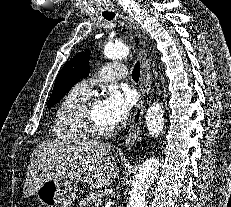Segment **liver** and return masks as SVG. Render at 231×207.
Segmentation results:
<instances>
[{"instance_id":"obj_1","label":"liver","mask_w":231,"mask_h":207,"mask_svg":"<svg viewBox=\"0 0 231 207\" xmlns=\"http://www.w3.org/2000/svg\"><path fill=\"white\" fill-rule=\"evenodd\" d=\"M111 146L88 141H47L33 151L23 189L24 198L35 194L51 178L87 182L90 188L108 186L118 178L119 167L109 155Z\"/></svg>"}]
</instances>
